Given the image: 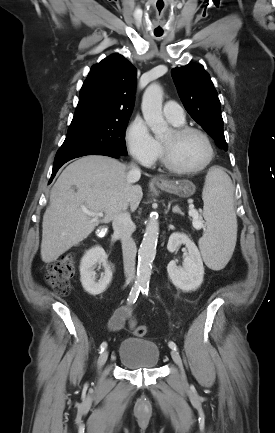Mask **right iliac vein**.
I'll list each match as a JSON object with an SVG mask.
<instances>
[{"label":"right iliac vein","instance_id":"obj_1","mask_svg":"<svg viewBox=\"0 0 275 433\" xmlns=\"http://www.w3.org/2000/svg\"><path fill=\"white\" fill-rule=\"evenodd\" d=\"M108 355H109L108 350H104L100 354L99 359H98V368H101L106 363V361L108 359Z\"/></svg>","mask_w":275,"mask_h":433}]
</instances>
